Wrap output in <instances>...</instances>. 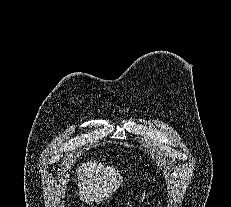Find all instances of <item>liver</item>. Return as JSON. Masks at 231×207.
<instances>
[{"mask_svg": "<svg viewBox=\"0 0 231 207\" xmlns=\"http://www.w3.org/2000/svg\"><path fill=\"white\" fill-rule=\"evenodd\" d=\"M77 179L80 199L92 204L108 199L119 188L123 177L113 166L90 160L78 167Z\"/></svg>", "mask_w": 231, "mask_h": 207, "instance_id": "obj_1", "label": "liver"}]
</instances>
